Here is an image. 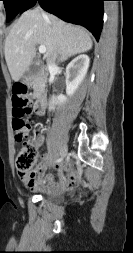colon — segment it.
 <instances>
[{
  "label": "colon",
  "mask_w": 133,
  "mask_h": 253,
  "mask_svg": "<svg viewBox=\"0 0 133 253\" xmlns=\"http://www.w3.org/2000/svg\"><path fill=\"white\" fill-rule=\"evenodd\" d=\"M13 130L15 140L22 143V148L16 158V167L19 172H27L34 166L37 158V141L39 135L32 133L30 122L26 116L30 113L28 108L27 89L18 85L13 89Z\"/></svg>",
  "instance_id": "obj_1"
}]
</instances>
